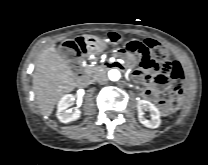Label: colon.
<instances>
[{"mask_svg":"<svg viewBox=\"0 0 208 165\" xmlns=\"http://www.w3.org/2000/svg\"><path fill=\"white\" fill-rule=\"evenodd\" d=\"M109 41L113 45H119L122 42L120 35L110 33ZM63 53L66 55H77L80 52L81 45L75 41H67L63 44ZM124 51L130 53L140 63V66L146 70L147 74L156 68H159V60L166 56L165 48L152 40L129 41L124 45ZM183 83V82H182ZM182 83L172 84V95L160 102L163 113L175 111L179 106V95L182 93Z\"/></svg>","mask_w":208,"mask_h":165,"instance_id":"5ec220e1","label":"colon"}]
</instances>
